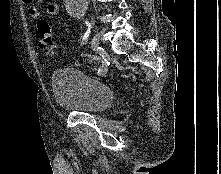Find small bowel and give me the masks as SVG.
Wrapping results in <instances>:
<instances>
[{"label": "small bowel", "instance_id": "small-bowel-1", "mask_svg": "<svg viewBox=\"0 0 221 174\" xmlns=\"http://www.w3.org/2000/svg\"><path fill=\"white\" fill-rule=\"evenodd\" d=\"M28 6L29 15L34 18L38 19L41 16V12L37 6L33 4V0H24ZM46 13L50 16L57 15L59 13V6L56 3H50L46 7Z\"/></svg>", "mask_w": 221, "mask_h": 174}]
</instances>
